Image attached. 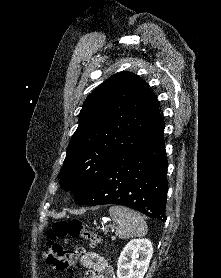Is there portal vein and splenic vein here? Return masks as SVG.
Segmentation results:
<instances>
[{
  "label": "portal vein and splenic vein",
  "mask_w": 221,
  "mask_h": 278,
  "mask_svg": "<svg viewBox=\"0 0 221 278\" xmlns=\"http://www.w3.org/2000/svg\"><path fill=\"white\" fill-rule=\"evenodd\" d=\"M105 232H107V228H105Z\"/></svg>",
  "instance_id": "obj_1"
}]
</instances>
